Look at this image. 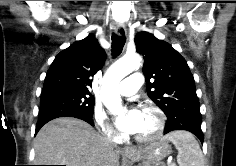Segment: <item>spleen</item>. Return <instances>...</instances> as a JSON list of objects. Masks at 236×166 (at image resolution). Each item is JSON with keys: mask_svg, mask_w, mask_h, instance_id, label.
Masks as SVG:
<instances>
[{"mask_svg": "<svg viewBox=\"0 0 236 166\" xmlns=\"http://www.w3.org/2000/svg\"><path fill=\"white\" fill-rule=\"evenodd\" d=\"M170 141L178 150L179 166H205L204 156L193 134L187 131H174L163 138Z\"/></svg>", "mask_w": 236, "mask_h": 166, "instance_id": "spleen-1", "label": "spleen"}]
</instances>
